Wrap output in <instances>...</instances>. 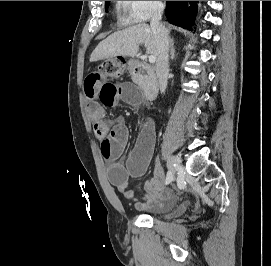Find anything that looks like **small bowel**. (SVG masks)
<instances>
[{"mask_svg": "<svg viewBox=\"0 0 271 266\" xmlns=\"http://www.w3.org/2000/svg\"><path fill=\"white\" fill-rule=\"evenodd\" d=\"M85 95L89 99L88 113L93 123L94 134L101 143V153L109 162V180L129 200L135 198L129 180L144 175L155 146V129L151 122L139 133L126 161L120 157L129 139L128 126L123 117L113 123L105 120L104 107H115L120 103L139 106L141 96L130 82L116 84L109 81L102 71L89 73L84 81ZM164 174L156 166L154 176L144 183L142 201L136 203L140 210H163L173 206L176 195L163 186Z\"/></svg>", "mask_w": 271, "mask_h": 266, "instance_id": "obj_1", "label": "small bowel"}]
</instances>
